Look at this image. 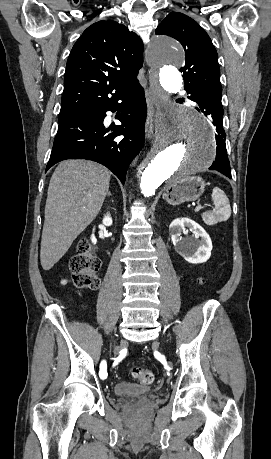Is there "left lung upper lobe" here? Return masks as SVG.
<instances>
[{"label": "left lung upper lobe", "instance_id": "left-lung-upper-lobe-1", "mask_svg": "<svg viewBox=\"0 0 271 459\" xmlns=\"http://www.w3.org/2000/svg\"><path fill=\"white\" fill-rule=\"evenodd\" d=\"M155 33L173 37L182 44L185 66L180 71L183 72L184 89L191 93L208 90L211 95L209 105L223 109L218 55L204 29L187 15L171 12Z\"/></svg>", "mask_w": 271, "mask_h": 459}]
</instances>
